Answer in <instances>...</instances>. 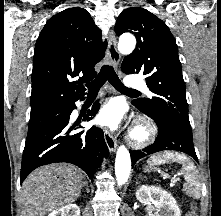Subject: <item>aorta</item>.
I'll return each instance as SVG.
<instances>
[{"mask_svg":"<svg viewBox=\"0 0 221 216\" xmlns=\"http://www.w3.org/2000/svg\"><path fill=\"white\" fill-rule=\"evenodd\" d=\"M136 46V39L131 34H123L119 38L118 50L124 55L130 54ZM131 170V158L125 146H120L117 150L115 160V175L118 185L127 182Z\"/></svg>","mask_w":221,"mask_h":216,"instance_id":"762f6f07","label":"aorta"}]
</instances>
